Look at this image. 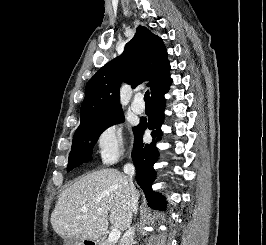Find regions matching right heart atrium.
I'll use <instances>...</instances> for the list:
<instances>
[{
	"label": "right heart atrium",
	"mask_w": 266,
	"mask_h": 245,
	"mask_svg": "<svg viewBox=\"0 0 266 245\" xmlns=\"http://www.w3.org/2000/svg\"><path fill=\"white\" fill-rule=\"evenodd\" d=\"M96 157L103 166L115 164L125 153L123 128L119 124L104 127L95 139Z\"/></svg>",
	"instance_id": "d8ad5b80"
}]
</instances>
